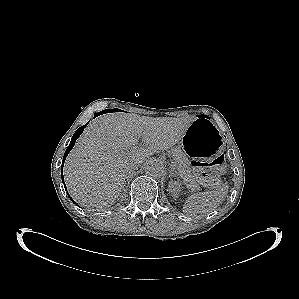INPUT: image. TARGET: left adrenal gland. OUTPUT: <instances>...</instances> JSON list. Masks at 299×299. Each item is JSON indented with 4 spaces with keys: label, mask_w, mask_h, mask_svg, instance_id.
Here are the masks:
<instances>
[{
    "label": "left adrenal gland",
    "mask_w": 299,
    "mask_h": 299,
    "mask_svg": "<svg viewBox=\"0 0 299 299\" xmlns=\"http://www.w3.org/2000/svg\"><path fill=\"white\" fill-rule=\"evenodd\" d=\"M169 176L170 177L176 176V174L174 173V169L172 167L170 168V175Z\"/></svg>",
    "instance_id": "left-adrenal-gland-1"
}]
</instances>
